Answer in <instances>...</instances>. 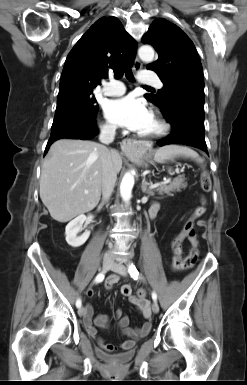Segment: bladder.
I'll list each match as a JSON object with an SVG mask.
<instances>
[{
	"mask_svg": "<svg viewBox=\"0 0 247 385\" xmlns=\"http://www.w3.org/2000/svg\"><path fill=\"white\" fill-rule=\"evenodd\" d=\"M131 355H132V353L130 352V353L126 354V355H119V357L127 358V357H130Z\"/></svg>",
	"mask_w": 247,
	"mask_h": 385,
	"instance_id": "obj_1",
	"label": "bladder"
}]
</instances>
